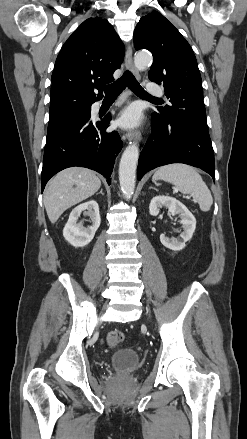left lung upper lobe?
I'll return each mask as SVG.
<instances>
[{"label": "left lung upper lobe", "mask_w": 247, "mask_h": 439, "mask_svg": "<svg viewBox=\"0 0 247 439\" xmlns=\"http://www.w3.org/2000/svg\"><path fill=\"white\" fill-rule=\"evenodd\" d=\"M134 46L153 54L149 79L164 84L165 95L171 102L153 115L162 120L186 117L207 125L197 61L180 32L162 14L152 12L137 24Z\"/></svg>", "instance_id": "1"}]
</instances>
